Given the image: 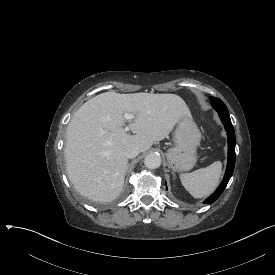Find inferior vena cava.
Segmentation results:
<instances>
[{
	"instance_id": "inferior-vena-cava-1",
	"label": "inferior vena cava",
	"mask_w": 275,
	"mask_h": 275,
	"mask_svg": "<svg viewBox=\"0 0 275 275\" xmlns=\"http://www.w3.org/2000/svg\"><path fill=\"white\" fill-rule=\"evenodd\" d=\"M139 153V147L135 144H128L124 148V154L127 158H135Z\"/></svg>"
}]
</instances>
